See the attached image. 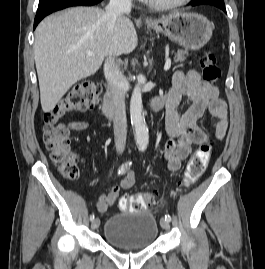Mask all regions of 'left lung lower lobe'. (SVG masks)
I'll return each instance as SVG.
<instances>
[{"label": "left lung lower lobe", "instance_id": "0a47b994", "mask_svg": "<svg viewBox=\"0 0 265 269\" xmlns=\"http://www.w3.org/2000/svg\"><path fill=\"white\" fill-rule=\"evenodd\" d=\"M202 4L216 6L222 9L226 13L224 0H195L194 2L190 3V5L192 6L202 5Z\"/></svg>", "mask_w": 265, "mask_h": 269}]
</instances>
